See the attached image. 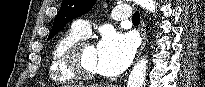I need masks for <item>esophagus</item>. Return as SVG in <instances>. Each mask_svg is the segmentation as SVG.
<instances>
[{
    "label": "esophagus",
    "mask_w": 205,
    "mask_h": 87,
    "mask_svg": "<svg viewBox=\"0 0 205 87\" xmlns=\"http://www.w3.org/2000/svg\"><path fill=\"white\" fill-rule=\"evenodd\" d=\"M140 33L142 36V43H141V46L139 48L137 58L141 55V52L143 51L145 44H146V41H147V33H146L145 24H144L143 20H141V23H140Z\"/></svg>",
    "instance_id": "esophagus-1"
}]
</instances>
